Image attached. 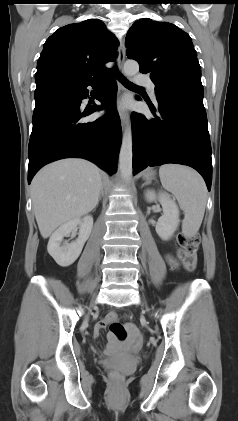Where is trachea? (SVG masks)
<instances>
[{
    "mask_svg": "<svg viewBox=\"0 0 238 421\" xmlns=\"http://www.w3.org/2000/svg\"><path fill=\"white\" fill-rule=\"evenodd\" d=\"M116 77L118 78V80L125 86V87H130V88H139V86L133 84L132 82H130L128 79H126L123 75H121L120 73H118L117 68L115 67L113 69Z\"/></svg>",
    "mask_w": 238,
    "mask_h": 421,
    "instance_id": "trachea-1",
    "label": "trachea"
}]
</instances>
